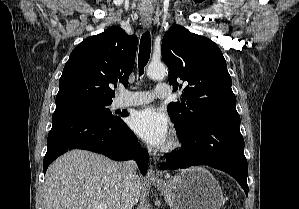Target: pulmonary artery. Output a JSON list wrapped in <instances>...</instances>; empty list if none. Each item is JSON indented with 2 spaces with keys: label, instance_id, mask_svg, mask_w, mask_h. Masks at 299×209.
<instances>
[{
  "label": "pulmonary artery",
  "instance_id": "pulmonary-artery-1",
  "mask_svg": "<svg viewBox=\"0 0 299 209\" xmlns=\"http://www.w3.org/2000/svg\"><path fill=\"white\" fill-rule=\"evenodd\" d=\"M171 94L170 87L167 83L160 82L156 85L153 92L148 91H125L119 99V107L138 106L147 104L155 98H165Z\"/></svg>",
  "mask_w": 299,
  "mask_h": 209
}]
</instances>
